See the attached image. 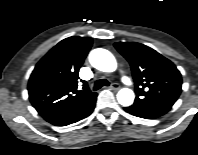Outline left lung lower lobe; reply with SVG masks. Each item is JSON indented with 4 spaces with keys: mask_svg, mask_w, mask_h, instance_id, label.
<instances>
[{
    "mask_svg": "<svg viewBox=\"0 0 198 155\" xmlns=\"http://www.w3.org/2000/svg\"><path fill=\"white\" fill-rule=\"evenodd\" d=\"M124 110L134 116L145 118V119H155L166 114L170 108L161 107V108H152V107H143L133 104L130 107H125Z\"/></svg>",
    "mask_w": 198,
    "mask_h": 155,
    "instance_id": "1",
    "label": "left lung lower lobe"
}]
</instances>
